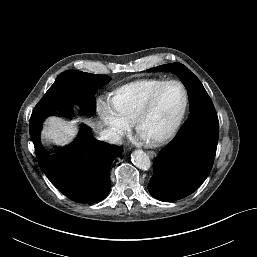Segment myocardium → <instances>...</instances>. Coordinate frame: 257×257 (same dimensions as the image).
I'll return each instance as SVG.
<instances>
[{"instance_id":"obj_1","label":"myocardium","mask_w":257,"mask_h":257,"mask_svg":"<svg viewBox=\"0 0 257 257\" xmlns=\"http://www.w3.org/2000/svg\"><path fill=\"white\" fill-rule=\"evenodd\" d=\"M172 84H176V85L181 87V89L183 91V95H184L183 104H182V107H181L178 115L176 116L175 120L173 121V123L169 127V129L166 132H164L163 134H161L160 136L149 139V143L154 145V146L163 144L167 140L171 139L175 135V133L178 131V129H179V127H180V125L183 121V118H184L186 110H187L188 102H189L188 92H187V89L184 86V84L182 82L178 81V80H167V81L163 82L162 84L157 86L151 92V94L148 96V98L143 103V105L140 107V109L137 111V113L134 117L136 130L140 131V125H141L142 120L146 117V115L153 108V106L156 102V99L159 96L160 92L165 87H167L169 85H172Z\"/></svg>"}]
</instances>
